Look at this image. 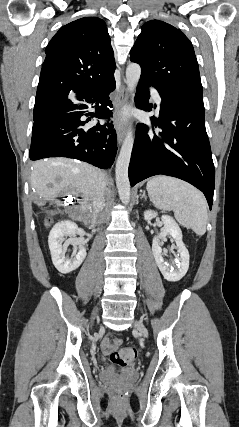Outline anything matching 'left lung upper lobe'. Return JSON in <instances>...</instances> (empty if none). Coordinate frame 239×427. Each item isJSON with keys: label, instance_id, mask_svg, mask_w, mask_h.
Segmentation results:
<instances>
[{"label": "left lung upper lobe", "instance_id": "obj_1", "mask_svg": "<svg viewBox=\"0 0 239 427\" xmlns=\"http://www.w3.org/2000/svg\"><path fill=\"white\" fill-rule=\"evenodd\" d=\"M130 59L141 66L140 80L203 105L198 62L190 40L159 20L142 26Z\"/></svg>", "mask_w": 239, "mask_h": 427}]
</instances>
